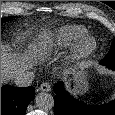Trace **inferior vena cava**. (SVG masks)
<instances>
[{
  "label": "inferior vena cava",
  "mask_w": 115,
  "mask_h": 115,
  "mask_svg": "<svg viewBox=\"0 0 115 115\" xmlns=\"http://www.w3.org/2000/svg\"><path fill=\"white\" fill-rule=\"evenodd\" d=\"M34 79V73L32 71H20L14 77V82L19 87L30 86Z\"/></svg>",
  "instance_id": "inferior-vena-cava-1"
}]
</instances>
